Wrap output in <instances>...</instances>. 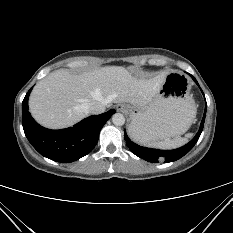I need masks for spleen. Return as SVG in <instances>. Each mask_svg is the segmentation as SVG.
I'll return each mask as SVG.
<instances>
[{
    "instance_id": "3e777b00",
    "label": "spleen",
    "mask_w": 233,
    "mask_h": 233,
    "mask_svg": "<svg viewBox=\"0 0 233 233\" xmlns=\"http://www.w3.org/2000/svg\"><path fill=\"white\" fill-rule=\"evenodd\" d=\"M128 132H129L130 137L138 142L137 136L131 131V129L128 128ZM192 136H193L192 133H188L186 134L185 137L166 139L164 141L150 143L148 144V146L154 147V148H160V149H175V148H178L184 145L188 141V139L191 138Z\"/></svg>"
}]
</instances>
